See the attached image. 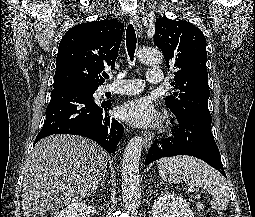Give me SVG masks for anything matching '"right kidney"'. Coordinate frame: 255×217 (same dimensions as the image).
Returning a JSON list of instances; mask_svg holds the SVG:
<instances>
[{
	"instance_id": "right-kidney-1",
	"label": "right kidney",
	"mask_w": 255,
	"mask_h": 217,
	"mask_svg": "<svg viewBox=\"0 0 255 217\" xmlns=\"http://www.w3.org/2000/svg\"><path fill=\"white\" fill-rule=\"evenodd\" d=\"M95 207L84 202H73L58 212L55 217H91Z\"/></svg>"
}]
</instances>
